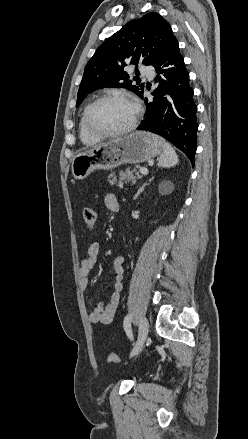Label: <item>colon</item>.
I'll list each match as a JSON object with an SVG mask.
<instances>
[{
	"label": "colon",
	"mask_w": 248,
	"mask_h": 439,
	"mask_svg": "<svg viewBox=\"0 0 248 439\" xmlns=\"http://www.w3.org/2000/svg\"><path fill=\"white\" fill-rule=\"evenodd\" d=\"M83 220H84V224L87 228L91 229L93 228L94 224H95V220H96V214L95 211L92 207L90 206H86L83 209ZM108 360L112 363H119L120 357L115 354L114 352H110L108 354Z\"/></svg>",
	"instance_id": "obj_1"
}]
</instances>
